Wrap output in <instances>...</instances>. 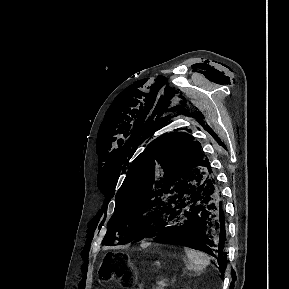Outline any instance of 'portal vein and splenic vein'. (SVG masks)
I'll list each match as a JSON object with an SVG mask.
<instances>
[{"instance_id":"portal-vein-and-splenic-vein-1","label":"portal vein and splenic vein","mask_w":289,"mask_h":289,"mask_svg":"<svg viewBox=\"0 0 289 289\" xmlns=\"http://www.w3.org/2000/svg\"><path fill=\"white\" fill-rule=\"evenodd\" d=\"M158 286L163 289L164 287H166V282L165 281H159L158 282Z\"/></svg>"}]
</instances>
